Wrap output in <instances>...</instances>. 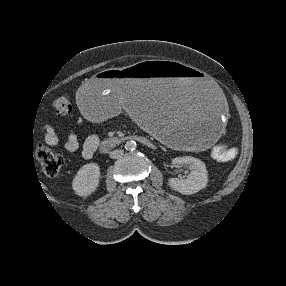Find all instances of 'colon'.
<instances>
[{
    "label": "colon",
    "mask_w": 286,
    "mask_h": 286,
    "mask_svg": "<svg viewBox=\"0 0 286 286\" xmlns=\"http://www.w3.org/2000/svg\"><path fill=\"white\" fill-rule=\"evenodd\" d=\"M52 109L59 116L68 115L72 111L71 98L67 95L57 97L52 102ZM212 154L220 160H229L231 157L228 148L220 145L213 148ZM36 156L45 175L53 177L59 173L63 165V157L60 153L39 145L36 149Z\"/></svg>",
    "instance_id": "1"
}]
</instances>
